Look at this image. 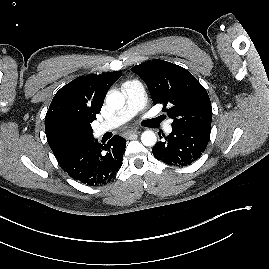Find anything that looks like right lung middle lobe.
<instances>
[{"label":"right lung middle lobe","instance_id":"right-lung-middle-lobe-1","mask_svg":"<svg viewBox=\"0 0 269 269\" xmlns=\"http://www.w3.org/2000/svg\"><path fill=\"white\" fill-rule=\"evenodd\" d=\"M90 139H92V136H90V137L88 138V140H90ZM88 140H87V141H88ZM87 141H86V142H87Z\"/></svg>","mask_w":269,"mask_h":269}]
</instances>
